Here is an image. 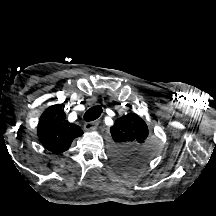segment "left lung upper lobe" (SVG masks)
Segmentation results:
<instances>
[{
  "mask_svg": "<svg viewBox=\"0 0 216 216\" xmlns=\"http://www.w3.org/2000/svg\"><path fill=\"white\" fill-rule=\"evenodd\" d=\"M110 132L114 141L110 155L120 169L136 170L155 157L157 133L135 113L117 118Z\"/></svg>",
  "mask_w": 216,
  "mask_h": 216,
  "instance_id": "left-lung-upper-lobe-1",
  "label": "left lung upper lobe"
}]
</instances>
